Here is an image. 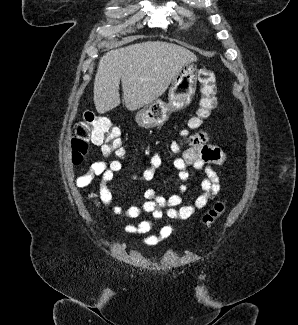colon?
Here are the masks:
<instances>
[{
  "label": "colon",
  "instance_id": "5ec220e1",
  "mask_svg": "<svg viewBox=\"0 0 298 325\" xmlns=\"http://www.w3.org/2000/svg\"><path fill=\"white\" fill-rule=\"evenodd\" d=\"M215 73L211 66L204 65L198 71L200 85V101L196 115L190 119L189 127L198 128L207 120L216 106ZM186 135V132L183 133ZM101 145L107 154L114 153L118 157L124 155L121 146L120 130L112 121L104 116L85 112L82 119L72 129L71 158L74 165L80 164L88 152L89 144ZM172 150L178 151L179 144L173 143ZM224 204L217 202L203 217L206 225H212L223 213Z\"/></svg>",
  "mask_w": 298,
  "mask_h": 325
}]
</instances>
